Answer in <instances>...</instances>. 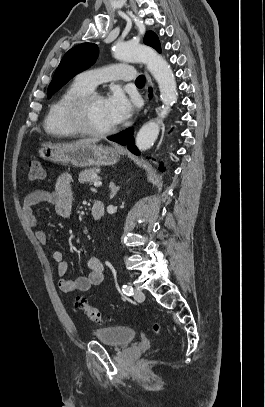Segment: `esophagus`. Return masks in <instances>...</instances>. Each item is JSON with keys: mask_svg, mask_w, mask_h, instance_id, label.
I'll return each mask as SVG.
<instances>
[{"mask_svg": "<svg viewBox=\"0 0 265 407\" xmlns=\"http://www.w3.org/2000/svg\"><path fill=\"white\" fill-rule=\"evenodd\" d=\"M145 74H146V80H147V85H146V98H147V100H149V91H148V89L150 88V87H152V80H151V77H150V75H149V73L146 71L145 72Z\"/></svg>", "mask_w": 265, "mask_h": 407, "instance_id": "34e87169", "label": "esophagus"}]
</instances>
